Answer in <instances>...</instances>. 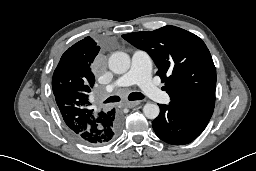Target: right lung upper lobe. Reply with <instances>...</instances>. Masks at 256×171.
I'll return each mask as SVG.
<instances>
[{
    "label": "right lung upper lobe",
    "instance_id": "obj_1",
    "mask_svg": "<svg viewBox=\"0 0 256 171\" xmlns=\"http://www.w3.org/2000/svg\"><path fill=\"white\" fill-rule=\"evenodd\" d=\"M99 50L92 38L85 37L62 55L53 74L52 88L57 106L75 136L95 132L109 112L92 109L88 100L95 83L90 64Z\"/></svg>",
    "mask_w": 256,
    "mask_h": 171
}]
</instances>
